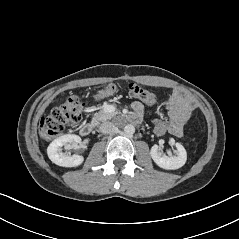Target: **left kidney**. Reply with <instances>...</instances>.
<instances>
[{
	"mask_svg": "<svg viewBox=\"0 0 239 239\" xmlns=\"http://www.w3.org/2000/svg\"><path fill=\"white\" fill-rule=\"evenodd\" d=\"M175 145L178 152L177 156H167L160 151V147L158 145H153L150 150V155L153 161L163 169L175 170L181 168L186 163L187 153L185 148L180 143H176Z\"/></svg>",
	"mask_w": 239,
	"mask_h": 239,
	"instance_id": "left-kidney-1",
	"label": "left kidney"
}]
</instances>
